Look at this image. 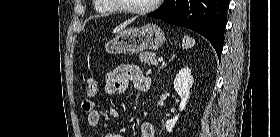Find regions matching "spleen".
Instances as JSON below:
<instances>
[{"label":"spleen","mask_w":280,"mask_h":137,"mask_svg":"<svg viewBox=\"0 0 280 137\" xmlns=\"http://www.w3.org/2000/svg\"><path fill=\"white\" fill-rule=\"evenodd\" d=\"M194 44H195V40L192 39L189 36H185L182 40V46H183L184 49H188L190 47H193Z\"/></svg>","instance_id":"3e777b00"}]
</instances>
